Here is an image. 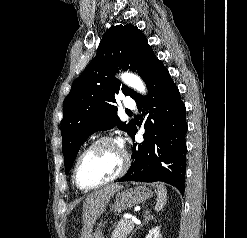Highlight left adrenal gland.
Listing matches in <instances>:
<instances>
[{
  "label": "left adrenal gland",
  "mask_w": 247,
  "mask_h": 238,
  "mask_svg": "<svg viewBox=\"0 0 247 238\" xmlns=\"http://www.w3.org/2000/svg\"><path fill=\"white\" fill-rule=\"evenodd\" d=\"M144 217H145V221L133 231L130 238H132V236L136 233V231L138 229H140L142 226L146 225L150 220L154 219V217L151 216L148 211L145 212Z\"/></svg>",
  "instance_id": "1"
}]
</instances>
